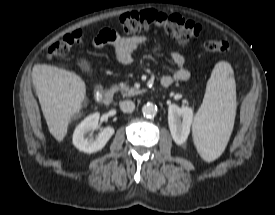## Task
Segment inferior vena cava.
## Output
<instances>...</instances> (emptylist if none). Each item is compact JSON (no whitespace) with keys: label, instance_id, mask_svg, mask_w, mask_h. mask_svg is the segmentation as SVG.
I'll return each mask as SVG.
<instances>
[{"label":"inferior vena cava","instance_id":"inferior-vena-cava-1","mask_svg":"<svg viewBox=\"0 0 275 215\" xmlns=\"http://www.w3.org/2000/svg\"><path fill=\"white\" fill-rule=\"evenodd\" d=\"M120 109L125 113H131L135 109V104L130 100L122 101L120 104Z\"/></svg>","mask_w":275,"mask_h":215}]
</instances>
